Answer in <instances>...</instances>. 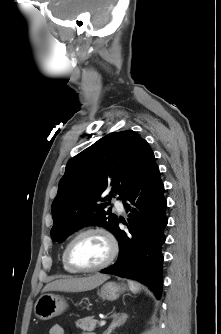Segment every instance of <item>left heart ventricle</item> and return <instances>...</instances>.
<instances>
[{"instance_id":"left-heart-ventricle-1","label":"left heart ventricle","mask_w":221,"mask_h":334,"mask_svg":"<svg viewBox=\"0 0 221 334\" xmlns=\"http://www.w3.org/2000/svg\"><path fill=\"white\" fill-rule=\"evenodd\" d=\"M109 243L99 233H88L78 238L71 247V261L78 267H92L109 255Z\"/></svg>"}]
</instances>
